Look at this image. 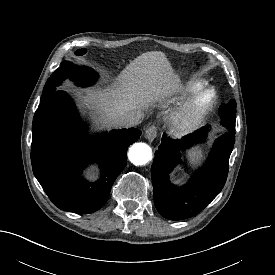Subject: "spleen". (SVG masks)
Listing matches in <instances>:
<instances>
[{
  "instance_id": "obj_1",
  "label": "spleen",
  "mask_w": 275,
  "mask_h": 275,
  "mask_svg": "<svg viewBox=\"0 0 275 275\" xmlns=\"http://www.w3.org/2000/svg\"><path fill=\"white\" fill-rule=\"evenodd\" d=\"M188 161L192 166L201 163L204 157L203 150L199 148L192 149L188 152Z\"/></svg>"
}]
</instances>
